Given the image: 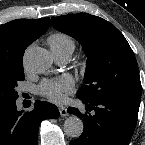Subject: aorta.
Wrapping results in <instances>:
<instances>
[{
    "mask_svg": "<svg viewBox=\"0 0 145 145\" xmlns=\"http://www.w3.org/2000/svg\"><path fill=\"white\" fill-rule=\"evenodd\" d=\"M24 64L33 72L43 73L50 69L52 65V58L46 49L41 47H32L24 54ZM83 129V122L77 116H69L64 122V131L69 137H80Z\"/></svg>",
    "mask_w": 145,
    "mask_h": 145,
    "instance_id": "aorta-1",
    "label": "aorta"
}]
</instances>
